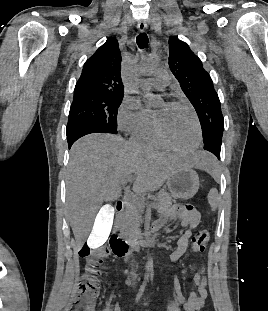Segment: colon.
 <instances>
[{
    "instance_id": "5ec220e1",
    "label": "colon",
    "mask_w": 268,
    "mask_h": 311,
    "mask_svg": "<svg viewBox=\"0 0 268 311\" xmlns=\"http://www.w3.org/2000/svg\"><path fill=\"white\" fill-rule=\"evenodd\" d=\"M209 239L210 232L206 229L200 230L193 238L192 251L203 252ZM111 252L112 250L106 246L90 249V246L85 244L81 248L80 256L85 261L84 272L77 283L73 300L67 311H95V300L100 289L101 268Z\"/></svg>"
}]
</instances>
